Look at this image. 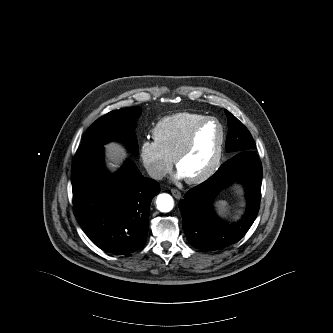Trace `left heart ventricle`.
Listing matches in <instances>:
<instances>
[{
    "label": "left heart ventricle",
    "mask_w": 333,
    "mask_h": 333,
    "mask_svg": "<svg viewBox=\"0 0 333 333\" xmlns=\"http://www.w3.org/2000/svg\"><path fill=\"white\" fill-rule=\"evenodd\" d=\"M219 140L220 130L215 123L207 124L198 132L192 149L178 166L185 178L195 177L210 166L216 155Z\"/></svg>",
    "instance_id": "obj_1"
}]
</instances>
